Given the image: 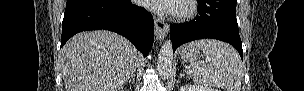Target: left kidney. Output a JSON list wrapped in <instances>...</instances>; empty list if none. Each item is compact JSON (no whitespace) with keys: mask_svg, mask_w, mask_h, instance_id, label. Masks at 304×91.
Listing matches in <instances>:
<instances>
[{"mask_svg":"<svg viewBox=\"0 0 304 91\" xmlns=\"http://www.w3.org/2000/svg\"><path fill=\"white\" fill-rule=\"evenodd\" d=\"M179 91H218L208 85H185L181 86Z\"/></svg>","mask_w":304,"mask_h":91,"instance_id":"obj_1","label":"left kidney"}]
</instances>
